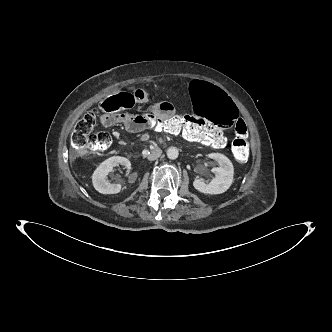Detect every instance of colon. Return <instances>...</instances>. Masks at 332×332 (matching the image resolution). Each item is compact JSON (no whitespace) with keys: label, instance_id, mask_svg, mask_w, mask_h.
I'll return each mask as SVG.
<instances>
[{"label":"colon","instance_id":"1","mask_svg":"<svg viewBox=\"0 0 332 332\" xmlns=\"http://www.w3.org/2000/svg\"><path fill=\"white\" fill-rule=\"evenodd\" d=\"M132 93L119 92L105 98L97 111L87 112L75 125L71 136V144L76 154L88 151H104L112 142L111 136L105 131H95L97 117L101 113L123 111L133 108L137 102ZM189 104L192 113L197 116L177 115L172 119H164L153 110L146 109L140 113L142 123L150 125L156 132L182 135L186 138L222 148L224 136L216 129L229 130L235 127V138L232 152L240 163H244L249 155L247 127L239 121L240 112L231 98L218 87L208 85L202 80H195L188 87ZM211 120L213 125L206 123ZM216 127V128H215Z\"/></svg>","mask_w":332,"mask_h":332}]
</instances>
